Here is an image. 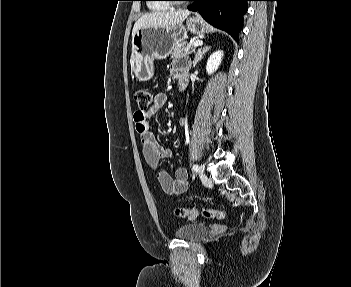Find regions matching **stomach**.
<instances>
[{
  "label": "stomach",
  "instance_id": "0dacf381",
  "mask_svg": "<svg viewBox=\"0 0 351 287\" xmlns=\"http://www.w3.org/2000/svg\"><path fill=\"white\" fill-rule=\"evenodd\" d=\"M203 34L207 28L198 17L188 18L186 25L171 28L148 27L139 29L132 37L130 66L140 81H147L153 76L155 59H166L173 46L183 41L187 32Z\"/></svg>",
  "mask_w": 351,
  "mask_h": 287
}]
</instances>
